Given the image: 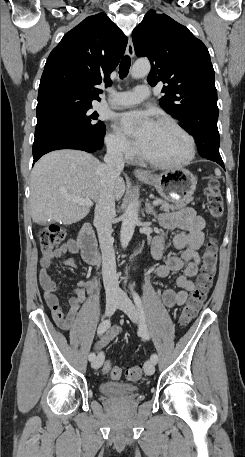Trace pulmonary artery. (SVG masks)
<instances>
[{
  "label": "pulmonary artery",
  "mask_w": 245,
  "mask_h": 457,
  "mask_svg": "<svg viewBox=\"0 0 245 457\" xmlns=\"http://www.w3.org/2000/svg\"><path fill=\"white\" fill-rule=\"evenodd\" d=\"M149 91L148 86H136L135 91L116 93L110 105L120 108L143 102L148 99Z\"/></svg>",
  "instance_id": "obj_1"
}]
</instances>
